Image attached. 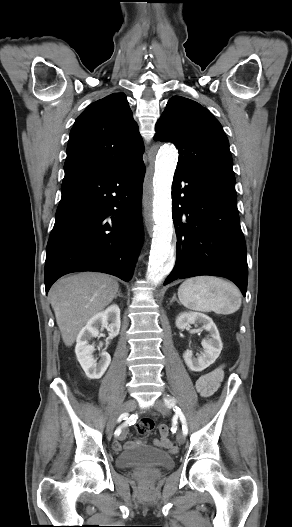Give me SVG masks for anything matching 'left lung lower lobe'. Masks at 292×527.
<instances>
[{
	"instance_id": "left-lung-lower-lobe-1",
	"label": "left lung lower lobe",
	"mask_w": 292,
	"mask_h": 527,
	"mask_svg": "<svg viewBox=\"0 0 292 527\" xmlns=\"http://www.w3.org/2000/svg\"><path fill=\"white\" fill-rule=\"evenodd\" d=\"M172 214L177 233L176 263L164 285L177 278L221 276L233 281L245 295L246 245L235 185L176 171Z\"/></svg>"
}]
</instances>
